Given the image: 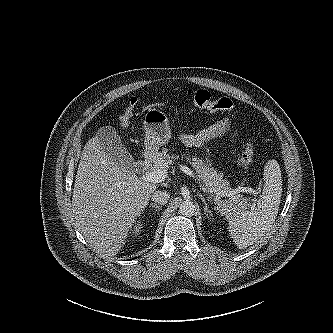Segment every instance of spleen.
Segmentation results:
<instances>
[{
	"instance_id": "obj_1",
	"label": "spleen",
	"mask_w": 333,
	"mask_h": 333,
	"mask_svg": "<svg viewBox=\"0 0 333 333\" xmlns=\"http://www.w3.org/2000/svg\"><path fill=\"white\" fill-rule=\"evenodd\" d=\"M264 187L260 198L250 211L234 213L229 218V233L239 249L258 242L272 228L278 214L282 195L281 170L276 160L264 166Z\"/></svg>"
}]
</instances>
